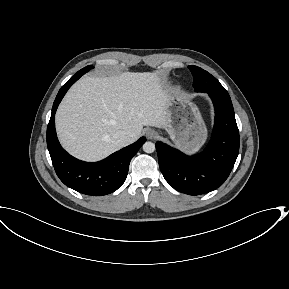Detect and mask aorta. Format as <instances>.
I'll list each match as a JSON object with an SVG mask.
<instances>
[{"label":"aorta","mask_w":289,"mask_h":289,"mask_svg":"<svg viewBox=\"0 0 289 289\" xmlns=\"http://www.w3.org/2000/svg\"><path fill=\"white\" fill-rule=\"evenodd\" d=\"M143 151L146 153H152L155 151V144L147 141L143 144Z\"/></svg>","instance_id":"762f6f07"}]
</instances>
